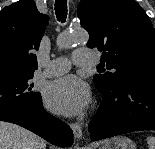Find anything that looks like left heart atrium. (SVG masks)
I'll return each mask as SVG.
<instances>
[{"label":"left heart atrium","instance_id":"1","mask_svg":"<svg viewBox=\"0 0 155 149\" xmlns=\"http://www.w3.org/2000/svg\"><path fill=\"white\" fill-rule=\"evenodd\" d=\"M44 101L54 113L73 116L81 113L90 102L87 85L75 75H66L48 84Z\"/></svg>","mask_w":155,"mask_h":149}]
</instances>
